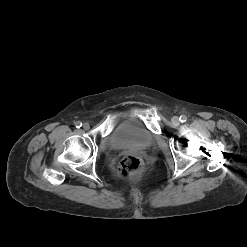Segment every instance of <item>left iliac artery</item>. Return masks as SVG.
<instances>
[{
	"instance_id": "left-iliac-artery-1",
	"label": "left iliac artery",
	"mask_w": 247,
	"mask_h": 247,
	"mask_svg": "<svg viewBox=\"0 0 247 247\" xmlns=\"http://www.w3.org/2000/svg\"><path fill=\"white\" fill-rule=\"evenodd\" d=\"M179 120L181 122H186L187 121V116L186 115H181L180 118H179Z\"/></svg>"
}]
</instances>
